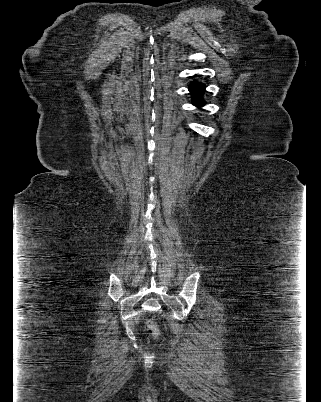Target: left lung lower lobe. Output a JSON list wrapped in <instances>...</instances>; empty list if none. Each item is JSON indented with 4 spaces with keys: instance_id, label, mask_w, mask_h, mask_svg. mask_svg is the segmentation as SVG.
Listing matches in <instances>:
<instances>
[{
    "instance_id": "left-lung-lower-lobe-1",
    "label": "left lung lower lobe",
    "mask_w": 321,
    "mask_h": 402,
    "mask_svg": "<svg viewBox=\"0 0 321 402\" xmlns=\"http://www.w3.org/2000/svg\"><path fill=\"white\" fill-rule=\"evenodd\" d=\"M204 89L205 85L203 83L193 81L190 84L189 91L192 94V100H193L192 103L197 107H201L206 103L202 97Z\"/></svg>"
}]
</instances>
